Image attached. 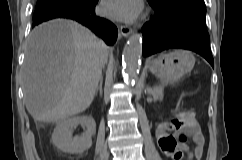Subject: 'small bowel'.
Segmentation results:
<instances>
[{"instance_id":"small-bowel-1","label":"small bowel","mask_w":242,"mask_h":160,"mask_svg":"<svg viewBox=\"0 0 242 160\" xmlns=\"http://www.w3.org/2000/svg\"><path fill=\"white\" fill-rule=\"evenodd\" d=\"M174 130V133H169ZM162 152L172 160H193L200 157L204 149V138L198 123L189 112L181 113L176 122L163 125L157 132ZM189 141L193 144L189 146Z\"/></svg>"}]
</instances>
